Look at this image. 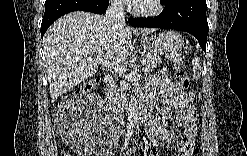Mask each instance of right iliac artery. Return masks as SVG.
<instances>
[{
	"instance_id": "82829eb1",
	"label": "right iliac artery",
	"mask_w": 247,
	"mask_h": 156,
	"mask_svg": "<svg viewBox=\"0 0 247 156\" xmlns=\"http://www.w3.org/2000/svg\"><path fill=\"white\" fill-rule=\"evenodd\" d=\"M129 129H130V128H129ZM128 132H129V130H128ZM129 135H131V132H129L128 136H129ZM128 139H129V138H128ZM126 143H127V142H126ZM126 145H127V144H125L124 147H122V151H123V149L126 148Z\"/></svg>"
}]
</instances>
